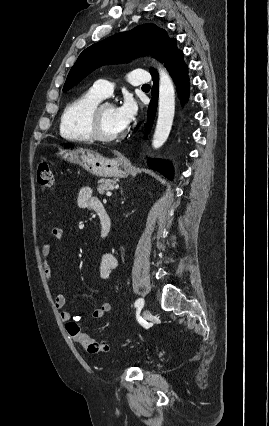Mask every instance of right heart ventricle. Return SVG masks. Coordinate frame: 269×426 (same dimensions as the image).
I'll return each instance as SVG.
<instances>
[{"label":"right heart ventricle","instance_id":"right-heart-ventricle-1","mask_svg":"<svg viewBox=\"0 0 269 426\" xmlns=\"http://www.w3.org/2000/svg\"><path fill=\"white\" fill-rule=\"evenodd\" d=\"M102 99L89 90L69 103L61 116V135L69 140L91 141L93 138L89 129V115L93 107Z\"/></svg>","mask_w":269,"mask_h":426}]
</instances>
